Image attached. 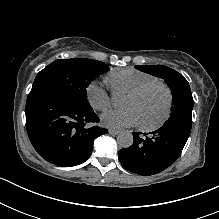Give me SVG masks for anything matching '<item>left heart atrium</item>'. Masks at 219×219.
Wrapping results in <instances>:
<instances>
[{
	"label": "left heart atrium",
	"instance_id": "1",
	"mask_svg": "<svg viewBox=\"0 0 219 219\" xmlns=\"http://www.w3.org/2000/svg\"><path fill=\"white\" fill-rule=\"evenodd\" d=\"M101 122L108 128H122L139 123L136 111L130 107L122 110H109L102 114Z\"/></svg>",
	"mask_w": 219,
	"mask_h": 219
}]
</instances>
